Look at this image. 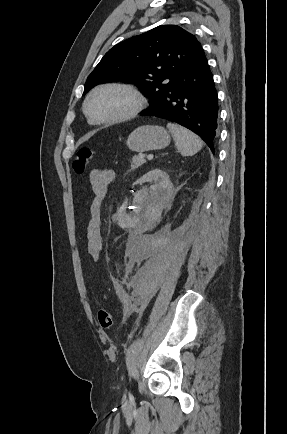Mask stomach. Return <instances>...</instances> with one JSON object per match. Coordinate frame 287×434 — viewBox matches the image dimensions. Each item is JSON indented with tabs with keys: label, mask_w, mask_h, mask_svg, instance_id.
Wrapping results in <instances>:
<instances>
[{
	"label": "stomach",
	"mask_w": 287,
	"mask_h": 434,
	"mask_svg": "<svg viewBox=\"0 0 287 434\" xmlns=\"http://www.w3.org/2000/svg\"><path fill=\"white\" fill-rule=\"evenodd\" d=\"M128 148L135 152L163 149L170 144V135L159 126H141L135 129L126 142Z\"/></svg>",
	"instance_id": "1"
}]
</instances>
